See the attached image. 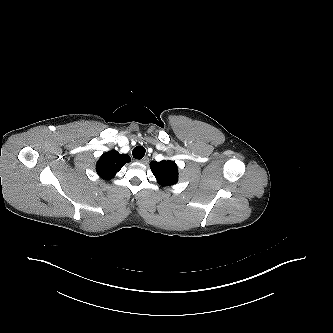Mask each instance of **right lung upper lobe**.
Listing matches in <instances>:
<instances>
[{"label": "right lung upper lobe", "instance_id": "1", "mask_svg": "<svg viewBox=\"0 0 333 333\" xmlns=\"http://www.w3.org/2000/svg\"><path fill=\"white\" fill-rule=\"evenodd\" d=\"M130 161L129 155L119 154V152L112 150L100 157L96 164V171L103 179L110 180L120 171L124 164Z\"/></svg>", "mask_w": 333, "mask_h": 333}]
</instances>
